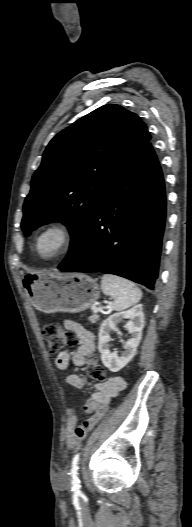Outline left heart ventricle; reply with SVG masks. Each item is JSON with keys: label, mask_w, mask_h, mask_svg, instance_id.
<instances>
[{"label": "left heart ventricle", "mask_w": 192, "mask_h": 527, "mask_svg": "<svg viewBox=\"0 0 192 527\" xmlns=\"http://www.w3.org/2000/svg\"><path fill=\"white\" fill-rule=\"evenodd\" d=\"M60 242V234L57 232H48L43 235L39 242V247L42 253L49 254L53 252Z\"/></svg>", "instance_id": "b2bd125f"}]
</instances>
